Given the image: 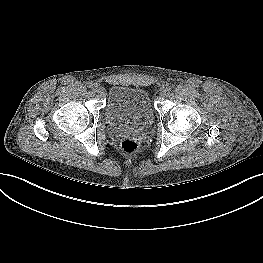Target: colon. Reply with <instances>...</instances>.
<instances>
[{"label": "colon", "mask_w": 263, "mask_h": 263, "mask_svg": "<svg viewBox=\"0 0 263 263\" xmlns=\"http://www.w3.org/2000/svg\"><path fill=\"white\" fill-rule=\"evenodd\" d=\"M123 152L127 154L135 153L138 149V144L134 140L126 139L121 143Z\"/></svg>", "instance_id": "5ec220e1"}]
</instances>
